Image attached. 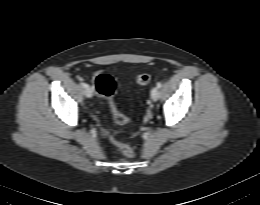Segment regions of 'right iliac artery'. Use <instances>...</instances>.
Segmentation results:
<instances>
[{"label": "right iliac artery", "instance_id": "1", "mask_svg": "<svg viewBox=\"0 0 260 205\" xmlns=\"http://www.w3.org/2000/svg\"><path fill=\"white\" fill-rule=\"evenodd\" d=\"M81 86H82L83 88H86L88 85H87L85 82H81Z\"/></svg>", "mask_w": 260, "mask_h": 205}]
</instances>
